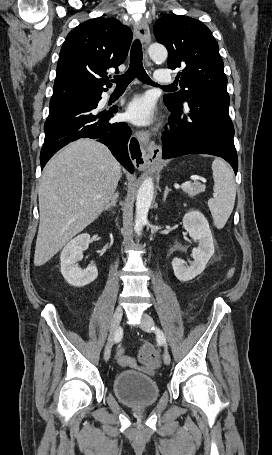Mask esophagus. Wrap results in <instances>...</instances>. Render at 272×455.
Instances as JSON below:
<instances>
[{
  "label": "esophagus",
  "mask_w": 272,
  "mask_h": 455,
  "mask_svg": "<svg viewBox=\"0 0 272 455\" xmlns=\"http://www.w3.org/2000/svg\"><path fill=\"white\" fill-rule=\"evenodd\" d=\"M136 35L140 38L145 48L150 43V30L146 21L135 26ZM148 65L147 54H145ZM130 152L135 167L143 170L159 160L162 149L150 139V132L146 130L137 131L135 138L131 139Z\"/></svg>",
  "instance_id": "obj_1"
}]
</instances>
